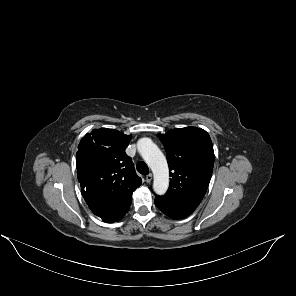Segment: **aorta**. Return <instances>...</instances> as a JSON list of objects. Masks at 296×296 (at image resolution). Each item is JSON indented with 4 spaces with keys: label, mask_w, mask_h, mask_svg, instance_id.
<instances>
[{
    "label": "aorta",
    "mask_w": 296,
    "mask_h": 296,
    "mask_svg": "<svg viewBox=\"0 0 296 296\" xmlns=\"http://www.w3.org/2000/svg\"><path fill=\"white\" fill-rule=\"evenodd\" d=\"M137 149L154 174V192L164 195L169 186V169L165 156L149 138H141Z\"/></svg>",
    "instance_id": "aorta-1"
}]
</instances>
